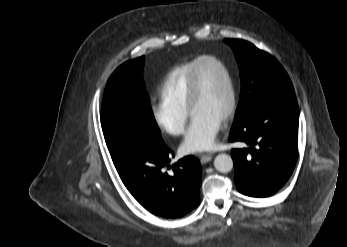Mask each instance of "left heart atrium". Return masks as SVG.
I'll list each match as a JSON object with an SVG mask.
<instances>
[{
	"label": "left heart atrium",
	"instance_id": "1",
	"mask_svg": "<svg viewBox=\"0 0 347 247\" xmlns=\"http://www.w3.org/2000/svg\"><path fill=\"white\" fill-rule=\"evenodd\" d=\"M222 120L205 115L192 116L191 123L180 145L183 154H194L211 149L221 129Z\"/></svg>",
	"mask_w": 347,
	"mask_h": 247
}]
</instances>
